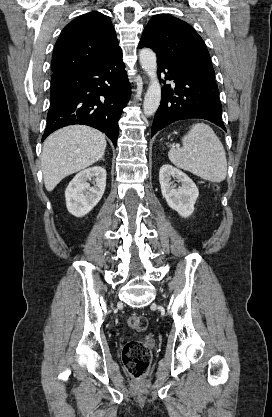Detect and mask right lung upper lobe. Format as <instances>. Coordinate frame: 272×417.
Masks as SVG:
<instances>
[{"instance_id": "right-lung-upper-lobe-1", "label": "right lung upper lobe", "mask_w": 272, "mask_h": 417, "mask_svg": "<svg viewBox=\"0 0 272 417\" xmlns=\"http://www.w3.org/2000/svg\"><path fill=\"white\" fill-rule=\"evenodd\" d=\"M118 48L109 17L100 12L84 14L61 32L54 47L52 71L92 67Z\"/></svg>"}]
</instances>
